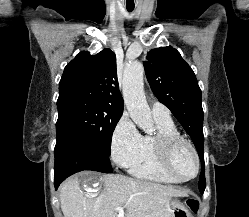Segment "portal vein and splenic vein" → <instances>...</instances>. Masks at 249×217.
Instances as JSON below:
<instances>
[{
	"mask_svg": "<svg viewBox=\"0 0 249 217\" xmlns=\"http://www.w3.org/2000/svg\"><path fill=\"white\" fill-rule=\"evenodd\" d=\"M115 211L119 212L118 217H123V214H124L123 208H121V207L115 208Z\"/></svg>",
	"mask_w": 249,
	"mask_h": 217,
	"instance_id": "obj_1",
	"label": "portal vein and splenic vein"
}]
</instances>
